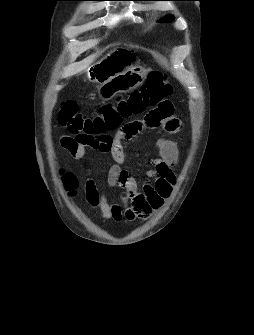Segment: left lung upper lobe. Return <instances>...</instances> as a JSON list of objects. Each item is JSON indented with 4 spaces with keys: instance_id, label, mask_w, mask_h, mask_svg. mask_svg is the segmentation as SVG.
Wrapping results in <instances>:
<instances>
[{
    "instance_id": "left-lung-upper-lobe-1",
    "label": "left lung upper lobe",
    "mask_w": 254,
    "mask_h": 335,
    "mask_svg": "<svg viewBox=\"0 0 254 335\" xmlns=\"http://www.w3.org/2000/svg\"><path fill=\"white\" fill-rule=\"evenodd\" d=\"M173 20V17H167L165 19H162L161 21L159 22H171Z\"/></svg>"
}]
</instances>
